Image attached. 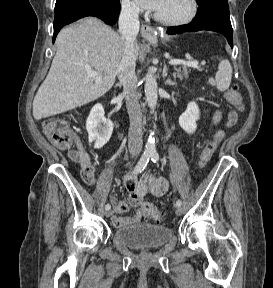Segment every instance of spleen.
<instances>
[{
    "label": "spleen",
    "instance_id": "spleen-1",
    "mask_svg": "<svg viewBox=\"0 0 273 288\" xmlns=\"http://www.w3.org/2000/svg\"><path fill=\"white\" fill-rule=\"evenodd\" d=\"M232 66L227 59L222 60L218 65V71L215 79L210 78L209 83L216 86L219 91H226L231 83Z\"/></svg>",
    "mask_w": 273,
    "mask_h": 288
}]
</instances>
